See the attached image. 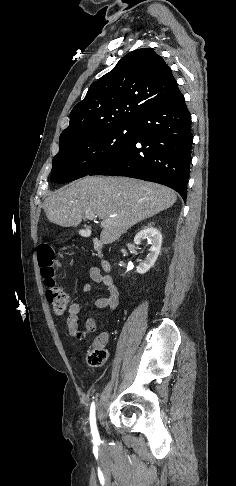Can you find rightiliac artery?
Listing matches in <instances>:
<instances>
[{
  "label": "right iliac artery",
  "instance_id": "right-iliac-artery-1",
  "mask_svg": "<svg viewBox=\"0 0 236 486\" xmlns=\"http://www.w3.org/2000/svg\"><path fill=\"white\" fill-rule=\"evenodd\" d=\"M90 426H91V433L93 436L94 442H99V434L96 426V419H95V404L94 402L91 404L90 408Z\"/></svg>",
  "mask_w": 236,
  "mask_h": 486
}]
</instances>
